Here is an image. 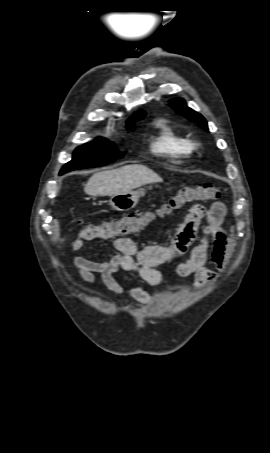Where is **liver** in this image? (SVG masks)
I'll list each match as a JSON object with an SVG mask.
<instances>
[{
  "label": "liver",
  "instance_id": "obj_1",
  "mask_svg": "<svg viewBox=\"0 0 270 453\" xmlns=\"http://www.w3.org/2000/svg\"><path fill=\"white\" fill-rule=\"evenodd\" d=\"M162 181V178L147 166L132 164L93 174L84 192L91 196H112Z\"/></svg>",
  "mask_w": 270,
  "mask_h": 453
}]
</instances>
